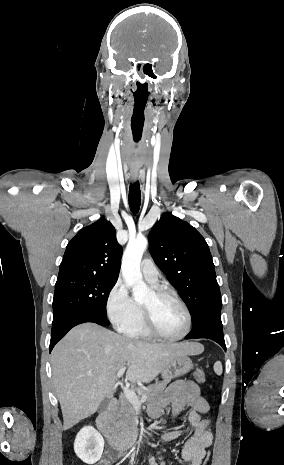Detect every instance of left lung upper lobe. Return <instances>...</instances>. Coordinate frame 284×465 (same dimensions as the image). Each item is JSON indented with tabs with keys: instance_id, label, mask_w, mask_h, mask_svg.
<instances>
[{
	"instance_id": "1",
	"label": "left lung upper lobe",
	"mask_w": 284,
	"mask_h": 465,
	"mask_svg": "<svg viewBox=\"0 0 284 465\" xmlns=\"http://www.w3.org/2000/svg\"><path fill=\"white\" fill-rule=\"evenodd\" d=\"M148 239L155 263L187 303L192 325L208 315H220V288L203 236L189 223L164 213Z\"/></svg>"
}]
</instances>
